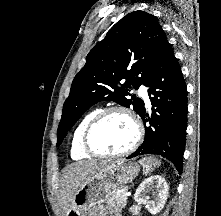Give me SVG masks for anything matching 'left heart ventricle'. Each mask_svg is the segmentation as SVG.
Segmentation results:
<instances>
[{"mask_svg":"<svg viewBox=\"0 0 221 216\" xmlns=\"http://www.w3.org/2000/svg\"><path fill=\"white\" fill-rule=\"evenodd\" d=\"M134 136V126L130 119L124 114L112 113L93 129L90 144L97 151L115 153L129 147Z\"/></svg>","mask_w":221,"mask_h":216,"instance_id":"1","label":"left heart ventricle"}]
</instances>
